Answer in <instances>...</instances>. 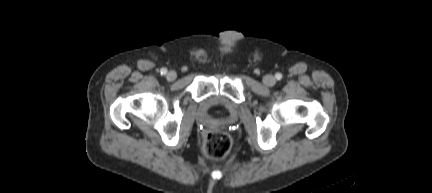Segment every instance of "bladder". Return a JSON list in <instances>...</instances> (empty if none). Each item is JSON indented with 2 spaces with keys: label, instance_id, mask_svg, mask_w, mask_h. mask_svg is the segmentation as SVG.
<instances>
[{
  "label": "bladder",
  "instance_id": "obj_1",
  "mask_svg": "<svg viewBox=\"0 0 432 193\" xmlns=\"http://www.w3.org/2000/svg\"><path fill=\"white\" fill-rule=\"evenodd\" d=\"M227 105L228 100L222 95H213L203 101V106L206 110H210L213 107H218L220 109V112L218 113L219 118H224V110L226 109Z\"/></svg>",
  "mask_w": 432,
  "mask_h": 193
}]
</instances>
